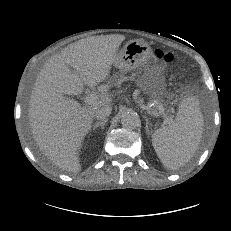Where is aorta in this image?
<instances>
[{"instance_id": "1", "label": "aorta", "mask_w": 231, "mask_h": 231, "mask_svg": "<svg viewBox=\"0 0 231 231\" xmlns=\"http://www.w3.org/2000/svg\"><path fill=\"white\" fill-rule=\"evenodd\" d=\"M139 117L133 112L125 113L122 115L121 124L124 128L135 129L139 125Z\"/></svg>"}]
</instances>
